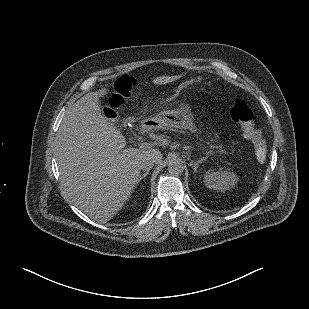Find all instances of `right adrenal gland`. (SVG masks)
Masks as SVG:
<instances>
[{
  "label": "right adrenal gland",
  "instance_id": "obj_1",
  "mask_svg": "<svg viewBox=\"0 0 309 309\" xmlns=\"http://www.w3.org/2000/svg\"><path fill=\"white\" fill-rule=\"evenodd\" d=\"M148 174H149V171L145 172L142 176H140L139 181H141L142 179L145 180Z\"/></svg>",
  "mask_w": 309,
  "mask_h": 309
}]
</instances>
